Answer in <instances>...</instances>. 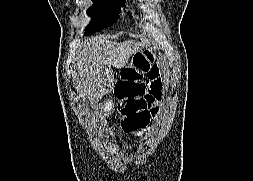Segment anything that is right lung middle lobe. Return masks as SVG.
Listing matches in <instances>:
<instances>
[{
	"label": "right lung middle lobe",
	"instance_id": "obj_1",
	"mask_svg": "<svg viewBox=\"0 0 253 181\" xmlns=\"http://www.w3.org/2000/svg\"><path fill=\"white\" fill-rule=\"evenodd\" d=\"M93 6L88 9V15L92 22L86 28V34H92L98 30L112 25L118 18L125 0H92Z\"/></svg>",
	"mask_w": 253,
	"mask_h": 181
}]
</instances>
